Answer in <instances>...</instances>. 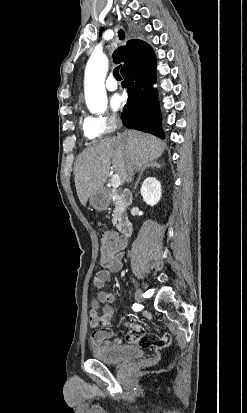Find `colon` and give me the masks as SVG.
Masks as SVG:
<instances>
[{
	"mask_svg": "<svg viewBox=\"0 0 247 413\" xmlns=\"http://www.w3.org/2000/svg\"><path fill=\"white\" fill-rule=\"evenodd\" d=\"M122 238L114 234H102L100 246L96 248V259L106 265L122 255Z\"/></svg>",
	"mask_w": 247,
	"mask_h": 413,
	"instance_id": "5ec220e1",
	"label": "colon"
}]
</instances>
